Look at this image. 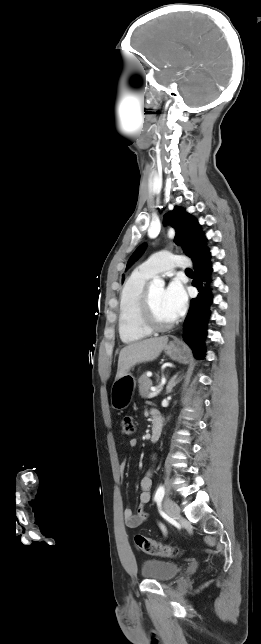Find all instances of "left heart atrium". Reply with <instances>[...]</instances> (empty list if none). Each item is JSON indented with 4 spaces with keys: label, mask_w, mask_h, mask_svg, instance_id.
I'll return each mask as SVG.
<instances>
[{
    "label": "left heart atrium",
    "mask_w": 261,
    "mask_h": 644,
    "mask_svg": "<svg viewBox=\"0 0 261 644\" xmlns=\"http://www.w3.org/2000/svg\"><path fill=\"white\" fill-rule=\"evenodd\" d=\"M163 300L173 320L180 317L186 310L187 296L178 281L170 282L164 289Z\"/></svg>",
    "instance_id": "left-heart-atrium-1"
}]
</instances>
